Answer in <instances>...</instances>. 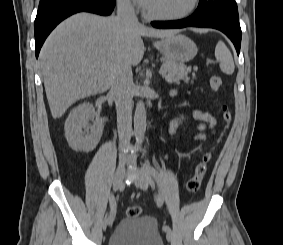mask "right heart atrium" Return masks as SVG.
Listing matches in <instances>:
<instances>
[{
  "instance_id": "right-heart-atrium-1",
  "label": "right heart atrium",
  "mask_w": 283,
  "mask_h": 245,
  "mask_svg": "<svg viewBox=\"0 0 283 245\" xmlns=\"http://www.w3.org/2000/svg\"><path fill=\"white\" fill-rule=\"evenodd\" d=\"M118 4L125 9H132L134 4L133 0H117Z\"/></svg>"
}]
</instances>
